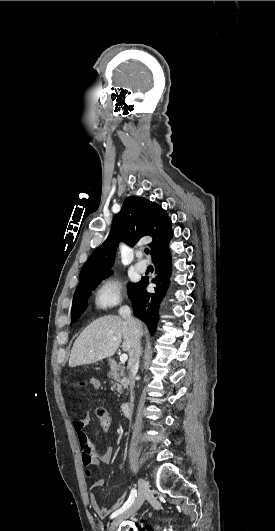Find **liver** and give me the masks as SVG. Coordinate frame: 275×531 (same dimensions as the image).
Instances as JSON below:
<instances>
[{
    "instance_id": "1",
    "label": "liver",
    "mask_w": 275,
    "mask_h": 531,
    "mask_svg": "<svg viewBox=\"0 0 275 531\" xmlns=\"http://www.w3.org/2000/svg\"><path fill=\"white\" fill-rule=\"evenodd\" d=\"M140 335H143V327L140 321H136ZM117 339V341H113ZM123 339V351H129L132 333L125 319L120 317H100L93 323H90L78 339H76L70 359L69 367H78V365H91L102 361L106 357H113Z\"/></svg>"
}]
</instances>
